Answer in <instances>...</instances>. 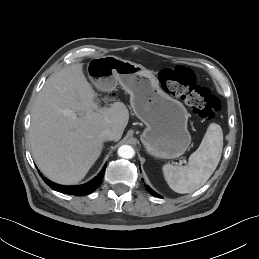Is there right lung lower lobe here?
<instances>
[{
	"label": "right lung lower lobe",
	"instance_id": "right-lung-lower-lobe-1",
	"mask_svg": "<svg viewBox=\"0 0 259 259\" xmlns=\"http://www.w3.org/2000/svg\"><path fill=\"white\" fill-rule=\"evenodd\" d=\"M106 165L103 167L101 172L98 174L97 177H95L92 181L79 186H63L56 183L51 182L46 177H44L40 172V176L44 180V182L50 186L53 190H56L58 192L64 193V194H70V195H76V196H82L87 195L96 190L97 187L101 184L104 173H105Z\"/></svg>",
	"mask_w": 259,
	"mask_h": 259
}]
</instances>
